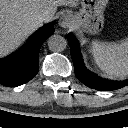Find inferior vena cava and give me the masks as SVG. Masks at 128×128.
<instances>
[{"label": "inferior vena cava", "instance_id": "602c4592", "mask_svg": "<svg viewBox=\"0 0 128 128\" xmlns=\"http://www.w3.org/2000/svg\"><path fill=\"white\" fill-rule=\"evenodd\" d=\"M37 17L40 21L47 22L51 19L52 13L50 12V10L46 8H42L39 10Z\"/></svg>", "mask_w": 128, "mask_h": 128}]
</instances>
